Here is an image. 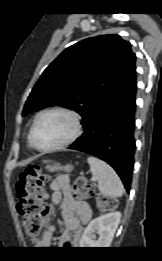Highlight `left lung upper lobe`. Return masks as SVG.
Returning a JSON list of instances; mask_svg holds the SVG:
<instances>
[{
	"instance_id": "1",
	"label": "left lung upper lobe",
	"mask_w": 162,
	"mask_h": 261,
	"mask_svg": "<svg viewBox=\"0 0 162 261\" xmlns=\"http://www.w3.org/2000/svg\"><path fill=\"white\" fill-rule=\"evenodd\" d=\"M136 55L128 41L108 34L65 49L43 72L23 109V116L48 106L79 113L83 122L94 109L136 73Z\"/></svg>"
}]
</instances>
